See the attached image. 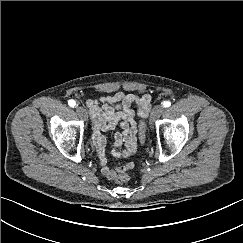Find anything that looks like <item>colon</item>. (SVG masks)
<instances>
[{
  "mask_svg": "<svg viewBox=\"0 0 243 243\" xmlns=\"http://www.w3.org/2000/svg\"><path fill=\"white\" fill-rule=\"evenodd\" d=\"M145 134H146V124L143 120L139 122V135L141 142H144L145 140ZM133 167V164L128 162L124 164V166L121 168V173L116 177V182L119 184L126 183L130 180V175L126 172L130 170Z\"/></svg>",
  "mask_w": 243,
  "mask_h": 243,
  "instance_id": "5ec220e1",
  "label": "colon"
}]
</instances>
